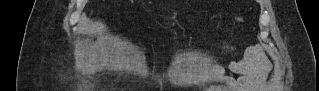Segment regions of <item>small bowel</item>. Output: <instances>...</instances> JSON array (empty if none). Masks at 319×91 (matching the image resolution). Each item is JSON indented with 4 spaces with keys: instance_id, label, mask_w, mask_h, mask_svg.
Segmentation results:
<instances>
[{
    "instance_id": "1",
    "label": "small bowel",
    "mask_w": 319,
    "mask_h": 91,
    "mask_svg": "<svg viewBox=\"0 0 319 91\" xmlns=\"http://www.w3.org/2000/svg\"><path fill=\"white\" fill-rule=\"evenodd\" d=\"M261 51V47L260 46H255L250 48L249 53L251 54H256L259 53ZM229 69L234 72V73H242L244 71V66L241 62L237 61V60H232L229 63ZM265 69H268V65L265 63ZM226 81L235 84L236 80L231 78V77H226ZM264 79L262 77H254L251 80L252 86L257 88V87H261L263 84Z\"/></svg>"
}]
</instances>
